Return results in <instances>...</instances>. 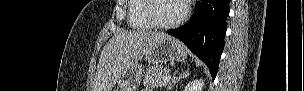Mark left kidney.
<instances>
[{
    "label": "left kidney",
    "mask_w": 304,
    "mask_h": 91,
    "mask_svg": "<svg viewBox=\"0 0 304 91\" xmlns=\"http://www.w3.org/2000/svg\"><path fill=\"white\" fill-rule=\"evenodd\" d=\"M204 84L202 79L194 80L185 86L184 91H202Z\"/></svg>",
    "instance_id": "obj_1"
}]
</instances>
